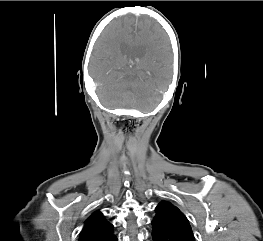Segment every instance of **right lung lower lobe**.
<instances>
[{
    "label": "right lung lower lobe",
    "mask_w": 263,
    "mask_h": 241,
    "mask_svg": "<svg viewBox=\"0 0 263 241\" xmlns=\"http://www.w3.org/2000/svg\"><path fill=\"white\" fill-rule=\"evenodd\" d=\"M113 241H117V237L116 236L114 237Z\"/></svg>",
    "instance_id": "98d812e1"
}]
</instances>
